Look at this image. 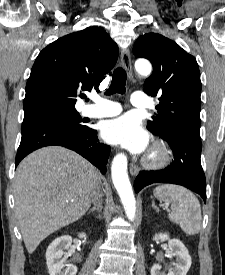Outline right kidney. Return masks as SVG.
Wrapping results in <instances>:
<instances>
[{"label":"right kidney","mask_w":225,"mask_h":275,"mask_svg":"<svg viewBox=\"0 0 225 275\" xmlns=\"http://www.w3.org/2000/svg\"><path fill=\"white\" fill-rule=\"evenodd\" d=\"M79 238H86L85 233L78 235ZM72 243V237L69 235H64L56 238L48 246L46 251V261L48 266V271L50 275H76L77 267L70 264H63V255L65 254L64 250H68Z\"/></svg>","instance_id":"obj_1"}]
</instances>
